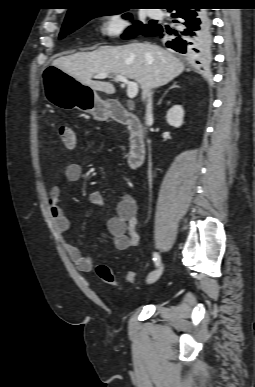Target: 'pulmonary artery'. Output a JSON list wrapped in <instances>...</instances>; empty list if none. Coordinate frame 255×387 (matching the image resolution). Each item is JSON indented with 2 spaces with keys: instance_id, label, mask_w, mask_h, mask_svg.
<instances>
[{
  "instance_id": "e3ab8cb5",
  "label": "pulmonary artery",
  "mask_w": 255,
  "mask_h": 387,
  "mask_svg": "<svg viewBox=\"0 0 255 387\" xmlns=\"http://www.w3.org/2000/svg\"><path fill=\"white\" fill-rule=\"evenodd\" d=\"M148 14L153 18H159L162 15L160 10H149Z\"/></svg>"
}]
</instances>
